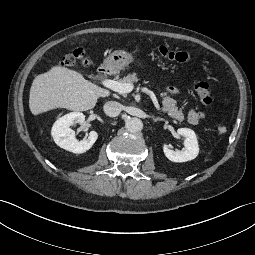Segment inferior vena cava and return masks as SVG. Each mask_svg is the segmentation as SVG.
<instances>
[{
	"label": "inferior vena cava",
	"mask_w": 255,
	"mask_h": 255,
	"mask_svg": "<svg viewBox=\"0 0 255 255\" xmlns=\"http://www.w3.org/2000/svg\"><path fill=\"white\" fill-rule=\"evenodd\" d=\"M104 113L109 117H116L120 114L122 107L116 101H108L103 106Z\"/></svg>",
	"instance_id": "inferior-vena-cava-1"
}]
</instances>
